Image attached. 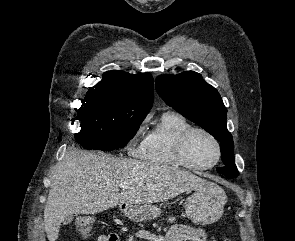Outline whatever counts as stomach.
<instances>
[{
  "mask_svg": "<svg viewBox=\"0 0 295 241\" xmlns=\"http://www.w3.org/2000/svg\"><path fill=\"white\" fill-rule=\"evenodd\" d=\"M227 201L224 190L215 183L207 182L195 189L185 202V216L194 224L209 225L218 221ZM120 210L129 219L141 222L157 218L161 210L150 204H120Z\"/></svg>",
  "mask_w": 295,
  "mask_h": 241,
  "instance_id": "1",
  "label": "stomach"
}]
</instances>
